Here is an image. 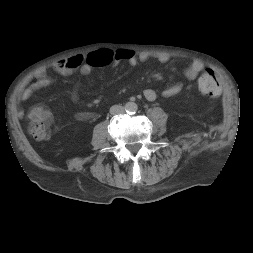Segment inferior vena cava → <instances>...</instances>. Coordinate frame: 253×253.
<instances>
[{
  "mask_svg": "<svg viewBox=\"0 0 253 253\" xmlns=\"http://www.w3.org/2000/svg\"><path fill=\"white\" fill-rule=\"evenodd\" d=\"M125 112V109L121 105H113L110 108V114L116 115V114H123Z\"/></svg>",
  "mask_w": 253,
  "mask_h": 253,
  "instance_id": "inferior-vena-cava-1",
  "label": "inferior vena cava"
}]
</instances>
